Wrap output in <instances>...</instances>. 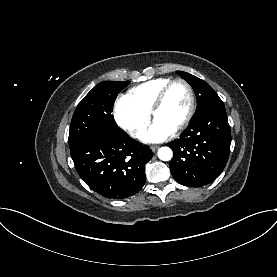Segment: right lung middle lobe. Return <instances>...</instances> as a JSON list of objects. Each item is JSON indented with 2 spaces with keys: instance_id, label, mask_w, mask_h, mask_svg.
Segmentation results:
<instances>
[{
  "instance_id": "dd1d6c3e",
  "label": "right lung middle lobe",
  "mask_w": 277,
  "mask_h": 277,
  "mask_svg": "<svg viewBox=\"0 0 277 277\" xmlns=\"http://www.w3.org/2000/svg\"><path fill=\"white\" fill-rule=\"evenodd\" d=\"M130 81H103L96 85L76 107L69 131V147L96 132L124 133L112 115L118 93Z\"/></svg>"
}]
</instances>
